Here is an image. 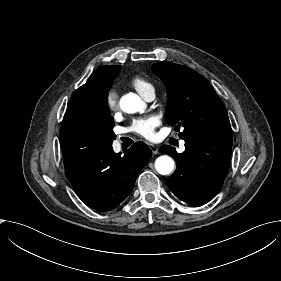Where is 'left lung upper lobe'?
I'll return each mask as SVG.
<instances>
[{"label":"left lung upper lobe","mask_w":281,"mask_h":281,"mask_svg":"<svg viewBox=\"0 0 281 281\" xmlns=\"http://www.w3.org/2000/svg\"><path fill=\"white\" fill-rule=\"evenodd\" d=\"M152 70L167 89L166 122L184 129L181 139L232 136L225 107L205 77L170 62L155 63Z\"/></svg>","instance_id":"1"}]
</instances>
